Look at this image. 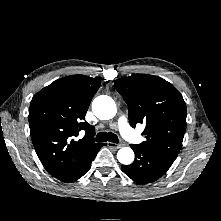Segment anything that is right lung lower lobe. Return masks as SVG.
I'll return each instance as SVG.
<instances>
[{
  "instance_id": "obj_1",
  "label": "right lung lower lobe",
  "mask_w": 221,
  "mask_h": 221,
  "mask_svg": "<svg viewBox=\"0 0 221 221\" xmlns=\"http://www.w3.org/2000/svg\"><path fill=\"white\" fill-rule=\"evenodd\" d=\"M104 146V144H101L98 149L88 156L86 160L81 163L80 165L76 166L75 168L59 175L57 178L64 182H72L78 180L80 177H82L91 167V162L94 160L95 156L97 155L99 149Z\"/></svg>"
}]
</instances>
